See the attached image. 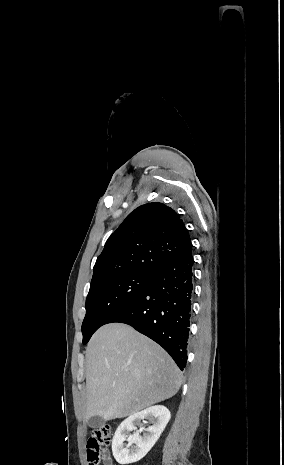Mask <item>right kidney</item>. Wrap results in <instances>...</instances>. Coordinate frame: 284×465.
<instances>
[{"instance_id": "1", "label": "right kidney", "mask_w": 284, "mask_h": 465, "mask_svg": "<svg viewBox=\"0 0 284 465\" xmlns=\"http://www.w3.org/2000/svg\"><path fill=\"white\" fill-rule=\"evenodd\" d=\"M170 417V411L166 407L155 405V407H149V409L134 413L125 419L119 425L112 441V453L117 463L129 465V463H136V461L143 459L158 441L167 423H169ZM143 419H148L153 425L146 429L147 433H144V437H140L141 431H137V425H141L140 421ZM130 431H136V433L130 437ZM124 441H128L130 449H123Z\"/></svg>"}]
</instances>
